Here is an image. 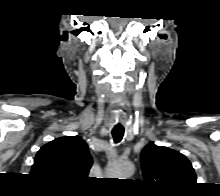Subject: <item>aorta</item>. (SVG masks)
Segmentation results:
<instances>
[{"label": "aorta", "mask_w": 220, "mask_h": 196, "mask_svg": "<svg viewBox=\"0 0 220 196\" xmlns=\"http://www.w3.org/2000/svg\"><path fill=\"white\" fill-rule=\"evenodd\" d=\"M109 174L119 179H127L134 172V165L130 161L115 160L108 166Z\"/></svg>", "instance_id": "1"}]
</instances>
